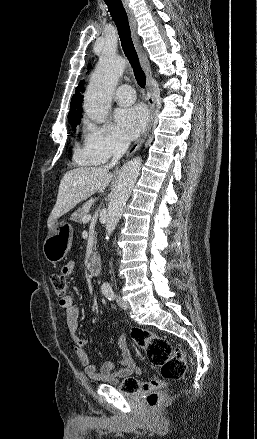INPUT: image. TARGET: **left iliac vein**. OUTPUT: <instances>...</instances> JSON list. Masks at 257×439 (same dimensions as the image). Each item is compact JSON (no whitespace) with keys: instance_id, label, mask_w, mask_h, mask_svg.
<instances>
[{"instance_id":"obj_1","label":"left iliac vein","mask_w":257,"mask_h":439,"mask_svg":"<svg viewBox=\"0 0 257 439\" xmlns=\"http://www.w3.org/2000/svg\"><path fill=\"white\" fill-rule=\"evenodd\" d=\"M116 300H117L118 305L122 309L127 310L130 308V304L125 299H123L121 296H116Z\"/></svg>"}]
</instances>
